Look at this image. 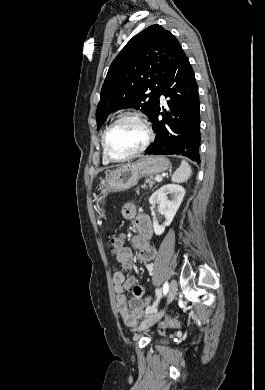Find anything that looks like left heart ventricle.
Masks as SVG:
<instances>
[{
    "label": "left heart ventricle",
    "instance_id": "obj_1",
    "mask_svg": "<svg viewBox=\"0 0 265 390\" xmlns=\"http://www.w3.org/2000/svg\"><path fill=\"white\" fill-rule=\"evenodd\" d=\"M145 140L141 125L133 120L118 123L109 133L108 149L112 155L123 157L138 149Z\"/></svg>",
    "mask_w": 265,
    "mask_h": 390
}]
</instances>
